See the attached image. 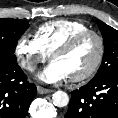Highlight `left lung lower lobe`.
<instances>
[{
  "label": "left lung lower lobe",
  "instance_id": "1",
  "mask_svg": "<svg viewBox=\"0 0 118 118\" xmlns=\"http://www.w3.org/2000/svg\"><path fill=\"white\" fill-rule=\"evenodd\" d=\"M65 118H118V73L73 91Z\"/></svg>",
  "mask_w": 118,
  "mask_h": 118
}]
</instances>
